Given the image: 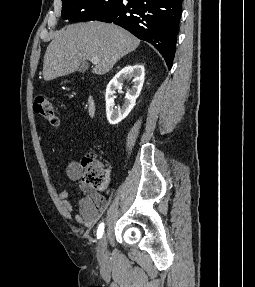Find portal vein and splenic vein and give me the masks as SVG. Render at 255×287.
Wrapping results in <instances>:
<instances>
[{
    "label": "portal vein and splenic vein",
    "mask_w": 255,
    "mask_h": 287,
    "mask_svg": "<svg viewBox=\"0 0 255 287\" xmlns=\"http://www.w3.org/2000/svg\"><path fill=\"white\" fill-rule=\"evenodd\" d=\"M92 64H98L99 60L98 58H91Z\"/></svg>",
    "instance_id": "portal-vein-and-splenic-vein-1"
}]
</instances>
